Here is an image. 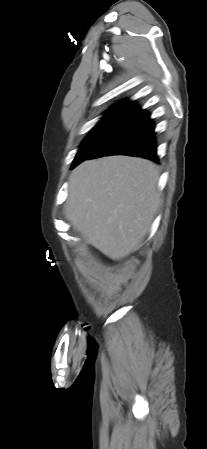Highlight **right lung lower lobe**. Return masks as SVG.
<instances>
[{"mask_svg": "<svg viewBox=\"0 0 207 449\" xmlns=\"http://www.w3.org/2000/svg\"><path fill=\"white\" fill-rule=\"evenodd\" d=\"M109 155H130L158 161L154 125L147 112L137 114L87 159Z\"/></svg>", "mask_w": 207, "mask_h": 449, "instance_id": "1", "label": "right lung lower lobe"}]
</instances>
